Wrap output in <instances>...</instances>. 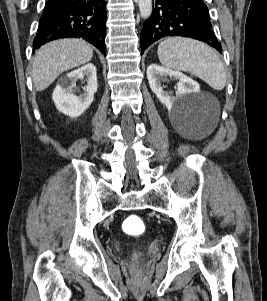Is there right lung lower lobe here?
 <instances>
[{"mask_svg": "<svg viewBox=\"0 0 267 301\" xmlns=\"http://www.w3.org/2000/svg\"><path fill=\"white\" fill-rule=\"evenodd\" d=\"M104 0H49L40 17L33 49L59 38H82L105 53Z\"/></svg>", "mask_w": 267, "mask_h": 301, "instance_id": "1", "label": "right lung lower lobe"}]
</instances>
